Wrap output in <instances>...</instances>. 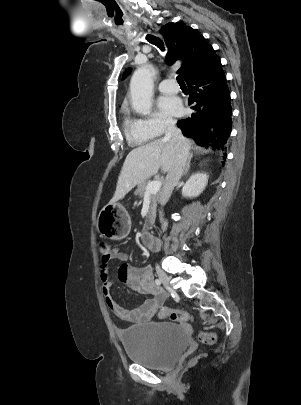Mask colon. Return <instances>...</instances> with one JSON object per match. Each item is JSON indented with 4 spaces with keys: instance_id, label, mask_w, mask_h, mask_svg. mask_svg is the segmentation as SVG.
<instances>
[{
    "instance_id": "colon-1",
    "label": "colon",
    "mask_w": 301,
    "mask_h": 405,
    "mask_svg": "<svg viewBox=\"0 0 301 405\" xmlns=\"http://www.w3.org/2000/svg\"><path fill=\"white\" fill-rule=\"evenodd\" d=\"M99 249L102 256L106 257L110 253V246L105 241L99 242ZM158 317L160 319L169 318L175 322L186 323L191 320L189 313L183 310L171 309L168 307H161L158 312ZM200 342L204 344H213L216 341V336L213 333L201 332L198 336Z\"/></svg>"
}]
</instances>
